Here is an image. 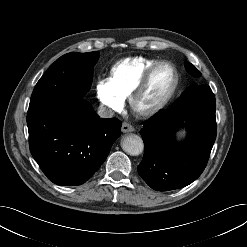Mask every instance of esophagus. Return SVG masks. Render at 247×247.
Listing matches in <instances>:
<instances>
[{
	"label": "esophagus",
	"mask_w": 247,
	"mask_h": 247,
	"mask_svg": "<svg viewBox=\"0 0 247 247\" xmlns=\"http://www.w3.org/2000/svg\"><path fill=\"white\" fill-rule=\"evenodd\" d=\"M121 130L123 133L133 132L134 127L131 124L124 122L122 124Z\"/></svg>",
	"instance_id": "esophagus-1"
}]
</instances>
